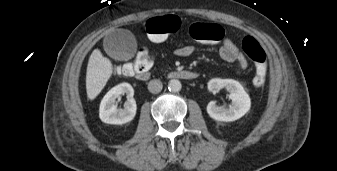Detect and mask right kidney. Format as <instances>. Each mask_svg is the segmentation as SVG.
Masks as SVG:
<instances>
[{
    "label": "right kidney",
    "mask_w": 337,
    "mask_h": 171,
    "mask_svg": "<svg viewBox=\"0 0 337 171\" xmlns=\"http://www.w3.org/2000/svg\"><path fill=\"white\" fill-rule=\"evenodd\" d=\"M124 94L127 95L128 102L123 109H119L116 99ZM133 95L134 90L128 83L118 84L109 90L100 103L99 117L101 121L107 124H125L133 120L137 110Z\"/></svg>",
    "instance_id": "ca27d5eb"
}]
</instances>
